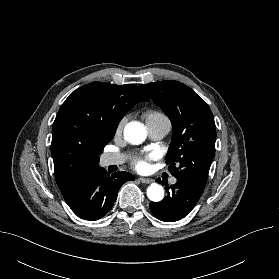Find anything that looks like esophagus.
<instances>
[{
	"label": "esophagus",
	"mask_w": 279,
	"mask_h": 279,
	"mask_svg": "<svg viewBox=\"0 0 279 279\" xmlns=\"http://www.w3.org/2000/svg\"><path fill=\"white\" fill-rule=\"evenodd\" d=\"M139 181L144 183V184H149L153 182V179L150 178H139Z\"/></svg>",
	"instance_id": "1"
}]
</instances>
